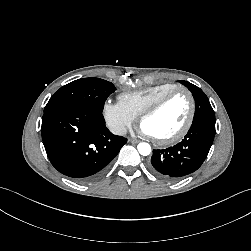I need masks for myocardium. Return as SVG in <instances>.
Returning <instances> with one entry per match:
<instances>
[{"label": "myocardium", "instance_id": "1", "mask_svg": "<svg viewBox=\"0 0 251 251\" xmlns=\"http://www.w3.org/2000/svg\"><path fill=\"white\" fill-rule=\"evenodd\" d=\"M183 93L186 95V97L189 100L190 104V110L189 114L187 117V120L183 127L174 135L167 137V138H151L159 145L166 146V145H172L180 140H182L190 131L194 118H195V113H196V102L194 99L193 94L186 88L184 87H177L166 94L162 95L160 98H158L153 104H151L148 108H146L138 117V122L140 125H142V122L157 113L172 97H174L177 94Z\"/></svg>", "mask_w": 251, "mask_h": 251}]
</instances>
